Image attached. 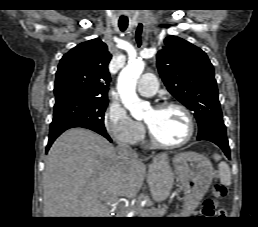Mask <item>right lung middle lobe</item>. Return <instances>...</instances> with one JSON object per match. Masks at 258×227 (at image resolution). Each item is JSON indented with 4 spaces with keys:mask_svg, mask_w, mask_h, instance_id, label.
<instances>
[{
    "mask_svg": "<svg viewBox=\"0 0 258 227\" xmlns=\"http://www.w3.org/2000/svg\"><path fill=\"white\" fill-rule=\"evenodd\" d=\"M108 99L66 93L56 96L53 121H66L95 132L106 131L104 112Z\"/></svg>",
    "mask_w": 258,
    "mask_h": 227,
    "instance_id": "1",
    "label": "right lung middle lobe"
}]
</instances>
